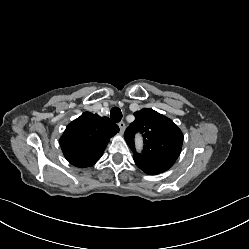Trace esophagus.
<instances>
[{
  "mask_svg": "<svg viewBox=\"0 0 249 249\" xmlns=\"http://www.w3.org/2000/svg\"><path fill=\"white\" fill-rule=\"evenodd\" d=\"M118 126L120 128V132L123 134L124 131H125V128H126L125 123L123 121H121V122L118 123Z\"/></svg>",
  "mask_w": 249,
  "mask_h": 249,
  "instance_id": "34e87169",
  "label": "esophagus"
}]
</instances>
